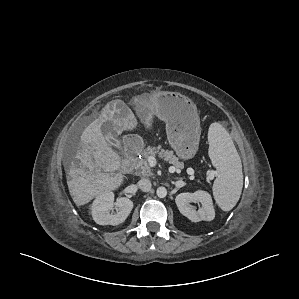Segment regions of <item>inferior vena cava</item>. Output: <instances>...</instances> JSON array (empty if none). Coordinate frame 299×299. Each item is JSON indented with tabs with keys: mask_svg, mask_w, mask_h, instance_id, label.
I'll return each instance as SVG.
<instances>
[{
	"mask_svg": "<svg viewBox=\"0 0 299 299\" xmlns=\"http://www.w3.org/2000/svg\"><path fill=\"white\" fill-rule=\"evenodd\" d=\"M137 184L140 190L143 192H148L152 187L151 181L147 178L140 179Z\"/></svg>",
	"mask_w": 299,
	"mask_h": 299,
	"instance_id": "obj_1",
	"label": "inferior vena cava"
}]
</instances>
